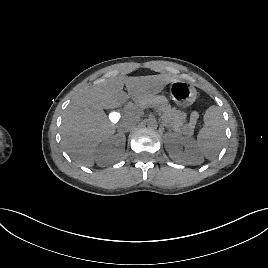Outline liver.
<instances>
[{
    "mask_svg": "<svg viewBox=\"0 0 268 268\" xmlns=\"http://www.w3.org/2000/svg\"><path fill=\"white\" fill-rule=\"evenodd\" d=\"M175 80L164 74L117 76L80 90L67 107L61 127L68 154L81 165L93 166L96 148L116 129L104 109L117 108L130 98L139 101L156 95ZM124 85L128 93L123 91Z\"/></svg>",
    "mask_w": 268,
    "mask_h": 268,
    "instance_id": "obj_1",
    "label": "liver"
}]
</instances>
